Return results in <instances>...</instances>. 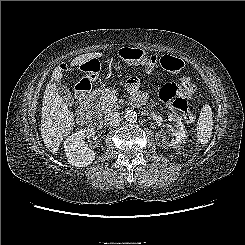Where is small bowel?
<instances>
[{
	"instance_id": "c3829d8e",
	"label": "small bowel",
	"mask_w": 245,
	"mask_h": 245,
	"mask_svg": "<svg viewBox=\"0 0 245 245\" xmlns=\"http://www.w3.org/2000/svg\"><path fill=\"white\" fill-rule=\"evenodd\" d=\"M152 71H148V73H151ZM126 86L130 94L133 96V100L135 103L142 104L146 101L147 94L140 90V83L138 79L130 78L127 81Z\"/></svg>"
}]
</instances>
